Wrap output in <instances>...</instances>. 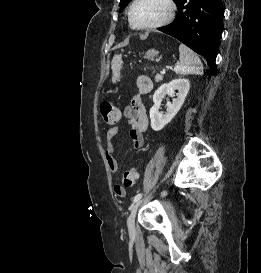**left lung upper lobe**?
<instances>
[{"mask_svg":"<svg viewBox=\"0 0 261 273\" xmlns=\"http://www.w3.org/2000/svg\"><path fill=\"white\" fill-rule=\"evenodd\" d=\"M131 0H121V2H120V6H121V9H123V7L125 6V5H127V3H129ZM175 2H177L178 0H174Z\"/></svg>","mask_w":261,"mask_h":273,"instance_id":"5c2ea615","label":"left lung upper lobe"}]
</instances>
